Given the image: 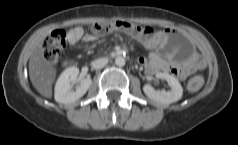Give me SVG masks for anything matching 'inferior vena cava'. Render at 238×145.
Here are the masks:
<instances>
[{
  "label": "inferior vena cava",
  "mask_w": 238,
  "mask_h": 145,
  "mask_svg": "<svg viewBox=\"0 0 238 145\" xmlns=\"http://www.w3.org/2000/svg\"><path fill=\"white\" fill-rule=\"evenodd\" d=\"M108 63V59L107 58H99L97 60H94L92 62V68L94 69H101L104 66H106Z\"/></svg>",
  "instance_id": "obj_1"
}]
</instances>
